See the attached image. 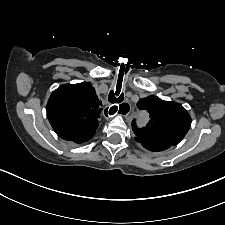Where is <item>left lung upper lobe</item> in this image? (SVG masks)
<instances>
[{"label":"left lung upper lobe","instance_id":"5c2ea615","mask_svg":"<svg viewBox=\"0 0 225 225\" xmlns=\"http://www.w3.org/2000/svg\"><path fill=\"white\" fill-rule=\"evenodd\" d=\"M137 106L150 114V121L144 128H137L135 120L132 121L137 139L167 146L177 145L190 128L191 117L178 103L148 96L139 100Z\"/></svg>","mask_w":225,"mask_h":225}]
</instances>
